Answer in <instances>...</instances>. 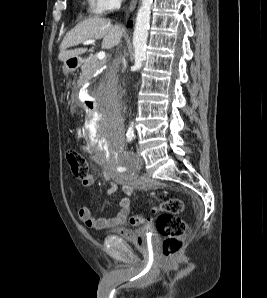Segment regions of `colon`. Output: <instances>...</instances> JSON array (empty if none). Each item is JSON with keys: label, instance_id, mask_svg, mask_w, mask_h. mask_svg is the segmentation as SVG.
Wrapping results in <instances>:
<instances>
[{"label": "colon", "instance_id": "colon-1", "mask_svg": "<svg viewBox=\"0 0 267 298\" xmlns=\"http://www.w3.org/2000/svg\"><path fill=\"white\" fill-rule=\"evenodd\" d=\"M66 160L72 174L82 183L89 177V167L86 159L75 150H68ZM184 210V202L181 198H170L153 208L157 215L156 228L163 238L162 251L166 259L176 256L184 246V235L186 232V221L181 217ZM144 218L134 215L129 222L132 226H140Z\"/></svg>", "mask_w": 267, "mask_h": 298}]
</instances>
